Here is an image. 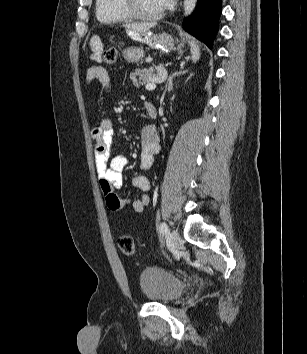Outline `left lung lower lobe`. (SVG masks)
<instances>
[{"mask_svg":"<svg viewBox=\"0 0 307 354\" xmlns=\"http://www.w3.org/2000/svg\"><path fill=\"white\" fill-rule=\"evenodd\" d=\"M221 2L222 0H198L193 16L186 18L184 23L187 31H192L194 36L210 48L218 31Z\"/></svg>","mask_w":307,"mask_h":354,"instance_id":"0a47b994","label":"left lung lower lobe"}]
</instances>
